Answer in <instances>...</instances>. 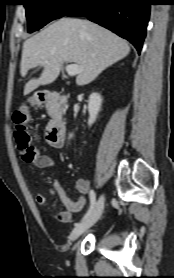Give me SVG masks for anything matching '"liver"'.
<instances>
[{"instance_id":"liver-1","label":"liver","mask_w":174,"mask_h":278,"mask_svg":"<svg viewBox=\"0 0 174 278\" xmlns=\"http://www.w3.org/2000/svg\"><path fill=\"white\" fill-rule=\"evenodd\" d=\"M129 52L127 41L111 31L88 20L61 18L23 44L21 76L34 67H43L39 78L26 83L24 95L54 82L66 62L83 67L76 77L77 85L82 86Z\"/></svg>"}]
</instances>
